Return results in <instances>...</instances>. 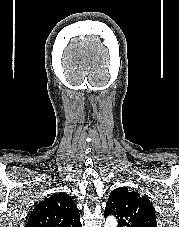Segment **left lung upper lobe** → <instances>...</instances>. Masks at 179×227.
<instances>
[{
    "label": "left lung upper lobe",
    "mask_w": 179,
    "mask_h": 227,
    "mask_svg": "<svg viewBox=\"0 0 179 227\" xmlns=\"http://www.w3.org/2000/svg\"><path fill=\"white\" fill-rule=\"evenodd\" d=\"M114 215L119 227H157L155 211L147 197L127 187L113 190L108 198L104 217Z\"/></svg>",
    "instance_id": "5c2ea615"
}]
</instances>
